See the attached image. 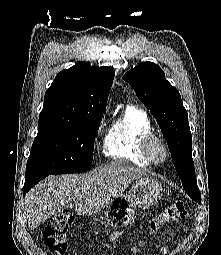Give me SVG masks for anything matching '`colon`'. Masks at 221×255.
I'll use <instances>...</instances> for the list:
<instances>
[{
	"label": "colon",
	"instance_id": "1",
	"mask_svg": "<svg viewBox=\"0 0 221 255\" xmlns=\"http://www.w3.org/2000/svg\"><path fill=\"white\" fill-rule=\"evenodd\" d=\"M187 215L188 206L186 202L177 200L161 214L150 220L148 231L157 232L164 225L184 219ZM73 222V215L67 210H62L56 213L50 223L43 228L45 245L57 255H65L68 251V233Z\"/></svg>",
	"mask_w": 221,
	"mask_h": 255
}]
</instances>
